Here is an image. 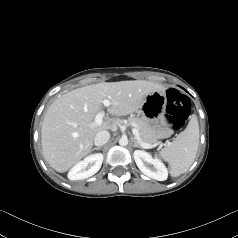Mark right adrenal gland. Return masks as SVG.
Here are the masks:
<instances>
[{
	"label": "right adrenal gland",
	"instance_id": "right-adrenal-gland-1",
	"mask_svg": "<svg viewBox=\"0 0 238 238\" xmlns=\"http://www.w3.org/2000/svg\"><path fill=\"white\" fill-rule=\"evenodd\" d=\"M101 149V147H94L93 149H92V151H94V150H100Z\"/></svg>",
	"mask_w": 238,
	"mask_h": 238
}]
</instances>
